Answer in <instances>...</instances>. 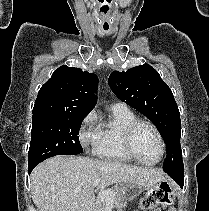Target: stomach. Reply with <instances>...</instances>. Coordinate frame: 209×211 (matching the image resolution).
Instances as JSON below:
<instances>
[{"label": "stomach", "mask_w": 209, "mask_h": 211, "mask_svg": "<svg viewBox=\"0 0 209 211\" xmlns=\"http://www.w3.org/2000/svg\"><path fill=\"white\" fill-rule=\"evenodd\" d=\"M120 191L125 200H134L143 192V188L136 184H125L120 186Z\"/></svg>", "instance_id": "0dacf381"}]
</instances>
